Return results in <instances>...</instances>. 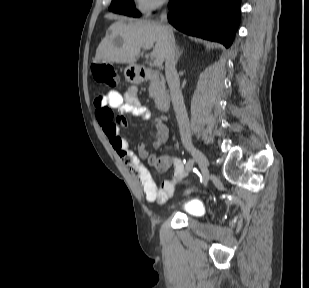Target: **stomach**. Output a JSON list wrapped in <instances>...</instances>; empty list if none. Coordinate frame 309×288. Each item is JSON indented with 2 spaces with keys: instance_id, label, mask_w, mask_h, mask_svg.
Here are the masks:
<instances>
[{
  "instance_id": "stomach-1",
  "label": "stomach",
  "mask_w": 309,
  "mask_h": 288,
  "mask_svg": "<svg viewBox=\"0 0 309 288\" xmlns=\"http://www.w3.org/2000/svg\"><path fill=\"white\" fill-rule=\"evenodd\" d=\"M124 75L130 83L138 84L141 82L140 69L135 64H129L124 70Z\"/></svg>"
}]
</instances>
